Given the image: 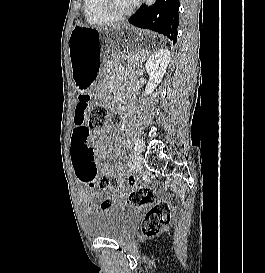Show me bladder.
Returning a JSON list of instances; mask_svg holds the SVG:
<instances>
[{
	"instance_id": "1",
	"label": "bladder",
	"mask_w": 265,
	"mask_h": 273,
	"mask_svg": "<svg viewBox=\"0 0 265 273\" xmlns=\"http://www.w3.org/2000/svg\"><path fill=\"white\" fill-rule=\"evenodd\" d=\"M138 225V210L128 204H114L94 210L84 218L87 234L94 238L124 241Z\"/></svg>"
}]
</instances>
